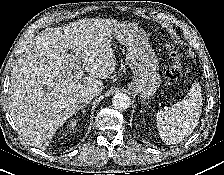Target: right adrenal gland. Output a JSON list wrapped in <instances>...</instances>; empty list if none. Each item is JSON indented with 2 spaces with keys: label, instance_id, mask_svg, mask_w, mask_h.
Listing matches in <instances>:
<instances>
[{
  "label": "right adrenal gland",
  "instance_id": "2a0ac1e0",
  "mask_svg": "<svg viewBox=\"0 0 224 175\" xmlns=\"http://www.w3.org/2000/svg\"><path fill=\"white\" fill-rule=\"evenodd\" d=\"M86 104H89V102L80 105V106L78 107L77 111L82 110V113H83V115H84V114H85V109H84V108H85Z\"/></svg>",
  "mask_w": 224,
  "mask_h": 175
}]
</instances>
